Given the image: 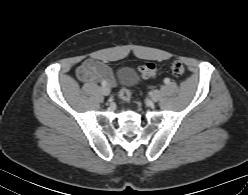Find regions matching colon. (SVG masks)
<instances>
[{"mask_svg": "<svg viewBox=\"0 0 248 195\" xmlns=\"http://www.w3.org/2000/svg\"><path fill=\"white\" fill-rule=\"evenodd\" d=\"M168 70L172 75L180 77L185 73V66L183 62L175 60L169 63ZM160 71L161 68L152 63L144 64L140 68V73L145 79L155 78L160 73ZM118 97L122 102L128 103L131 100L132 93L128 87L124 86L119 90Z\"/></svg>", "mask_w": 248, "mask_h": 195, "instance_id": "obj_1", "label": "colon"}]
</instances>
